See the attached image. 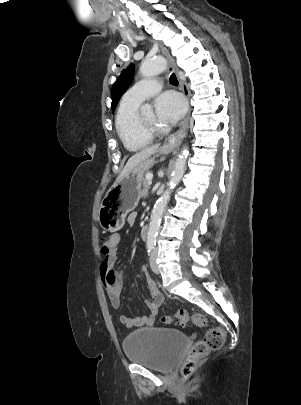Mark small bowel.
I'll return each instance as SVG.
<instances>
[{
  "label": "small bowel",
  "mask_w": 301,
  "mask_h": 405,
  "mask_svg": "<svg viewBox=\"0 0 301 405\" xmlns=\"http://www.w3.org/2000/svg\"><path fill=\"white\" fill-rule=\"evenodd\" d=\"M135 220V213L128 215L127 222L129 225H133ZM119 241L120 236L117 233H115L112 238L108 239L110 249L104 254L105 256L100 266L101 280L109 301L114 308L120 307L124 292L123 274L115 268L118 261ZM148 288L150 298L145 300V305L148 308L149 313L141 317L121 315L120 322L122 324L127 327H143L152 325L155 322L164 298L154 281L150 278H148Z\"/></svg>",
  "instance_id": "small-bowel-1"
}]
</instances>
